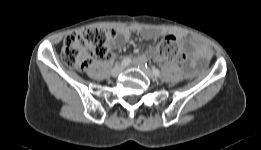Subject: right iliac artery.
Returning a JSON list of instances; mask_svg holds the SVG:
<instances>
[{
  "label": "right iliac artery",
  "mask_w": 261,
  "mask_h": 150,
  "mask_svg": "<svg viewBox=\"0 0 261 150\" xmlns=\"http://www.w3.org/2000/svg\"><path fill=\"white\" fill-rule=\"evenodd\" d=\"M130 62H131V59H130V58H126V59H124V60L121 62V65H122V66H127Z\"/></svg>",
  "instance_id": "right-iliac-artery-1"
}]
</instances>
